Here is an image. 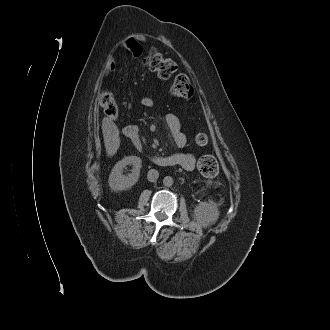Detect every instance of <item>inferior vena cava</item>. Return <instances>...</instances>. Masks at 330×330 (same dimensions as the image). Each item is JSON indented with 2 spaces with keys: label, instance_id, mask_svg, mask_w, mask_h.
<instances>
[{
  "label": "inferior vena cava",
  "instance_id": "602c4592",
  "mask_svg": "<svg viewBox=\"0 0 330 330\" xmlns=\"http://www.w3.org/2000/svg\"><path fill=\"white\" fill-rule=\"evenodd\" d=\"M158 177H159V173L157 170L151 169L148 171V174H147L148 181L155 182L158 179Z\"/></svg>",
  "mask_w": 330,
  "mask_h": 330
}]
</instances>
